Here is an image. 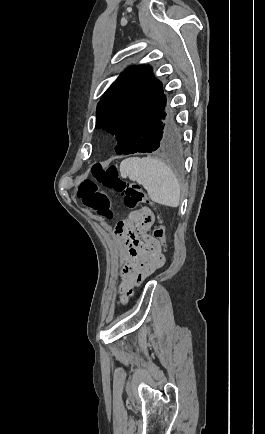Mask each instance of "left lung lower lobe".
<instances>
[{"label": "left lung lower lobe", "instance_id": "0a47b994", "mask_svg": "<svg viewBox=\"0 0 265 434\" xmlns=\"http://www.w3.org/2000/svg\"><path fill=\"white\" fill-rule=\"evenodd\" d=\"M183 148L182 134L176 124L168 118L157 127H150L134 137L125 139L115 147L118 155L142 153H176Z\"/></svg>", "mask_w": 265, "mask_h": 434}]
</instances>
